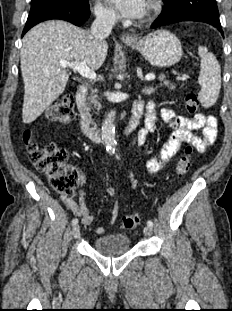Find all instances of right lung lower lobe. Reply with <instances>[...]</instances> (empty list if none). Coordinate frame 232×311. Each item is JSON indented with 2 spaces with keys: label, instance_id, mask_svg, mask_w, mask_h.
<instances>
[{
  "label": "right lung lower lobe",
  "instance_id": "obj_1",
  "mask_svg": "<svg viewBox=\"0 0 232 311\" xmlns=\"http://www.w3.org/2000/svg\"><path fill=\"white\" fill-rule=\"evenodd\" d=\"M90 16L89 10H83L73 5L62 3H45L31 7L22 36L36 24L61 19L77 26L82 25Z\"/></svg>",
  "mask_w": 232,
  "mask_h": 311
}]
</instances>
